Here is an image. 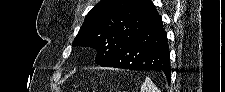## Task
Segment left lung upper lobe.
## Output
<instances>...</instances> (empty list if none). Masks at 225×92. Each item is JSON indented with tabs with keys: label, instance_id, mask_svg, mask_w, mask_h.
<instances>
[{
	"label": "left lung upper lobe",
	"instance_id": "1",
	"mask_svg": "<svg viewBox=\"0 0 225 92\" xmlns=\"http://www.w3.org/2000/svg\"><path fill=\"white\" fill-rule=\"evenodd\" d=\"M157 14L151 0H101L86 15L73 45L95 48L100 65Z\"/></svg>",
	"mask_w": 225,
	"mask_h": 92
}]
</instances>
